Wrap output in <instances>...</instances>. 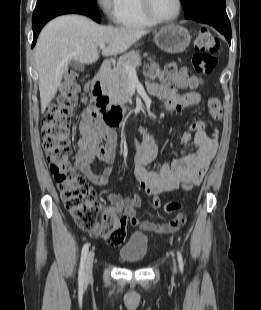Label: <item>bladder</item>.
<instances>
[{"label":"bladder","mask_w":261,"mask_h":310,"mask_svg":"<svg viewBox=\"0 0 261 310\" xmlns=\"http://www.w3.org/2000/svg\"><path fill=\"white\" fill-rule=\"evenodd\" d=\"M148 236L140 231L131 234L128 241L120 248L119 258L127 263L142 262L148 253Z\"/></svg>","instance_id":"obj_1"}]
</instances>
